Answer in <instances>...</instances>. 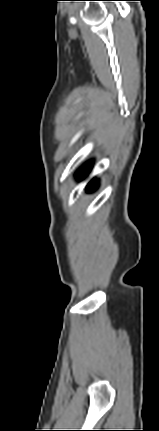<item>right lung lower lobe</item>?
Here are the masks:
<instances>
[{
  "label": "right lung lower lobe",
  "instance_id": "obj_1",
  "mask_svg": "<svg viewBox=\"0 0 159 431\" xmlns=\"http://www.w3.org/2000/svg\"><path fill=\"white\" fill-rule=\"evenodd\" d=\"M91 170V166L90 165H86L84 166L78 173H77V177L78 179H83L85 176L88 175V173ZM97 187V182L95 179H93L89 184H88V191L94 190Z\"/></svg>",
  "mask_w": 159,
  "mask_h": 431
}]
</instances>
